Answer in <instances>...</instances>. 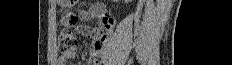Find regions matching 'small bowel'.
Masks as SVG:
<instances>
[{
  "instance_id": "1",
  "label": "small bowel",
  "mask_w": 232,
  "mask_h": 65,
  "mask_svg": "<svg viewBox=\"0 0 232 65\" xmlns=\"http://www.w3.org/2000/svg\"><path fill=\"white\" fill-rule=\"evenodd\" d=\"M90 16L96 17L97 27L89 29V32L94 39V44L91 49V57L88 61V65H99L102 51L101 44L106 37V31L112 28L113 21L101 6H95L90 12H83L81 14L83 19H88ZM75 18L76 17L73 15V12H65L64 28H72ZM67 21H70L71 23H67ZM80 34H88V29H80ZM75 56V50L62 54L58 58L57 64L66 65L67 62L75 58Z\"/></svg>"
}]
</instances>
